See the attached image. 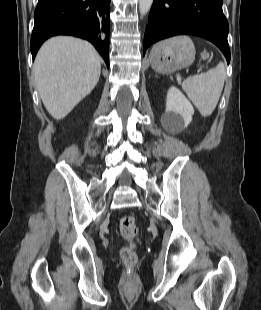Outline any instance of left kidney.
<instances>
[{
	"label": "left kidney",
	"mask_w": 261,
	"mask_h": 310,
	"mask_svg": "<svg viewBox=\"0 0 261 310\" xmlns=\"http://www.w3.org/2000/svg\"><path fill=\"white\" fill-rule=\"evenodd\" d=\"M194 108L190 101L175 86H171L167 93L166 110L162 116V123L170 131L187 127L192 121Z\"/></svg>",
	"instance_id": "5707ae66"
}]
</instances>
